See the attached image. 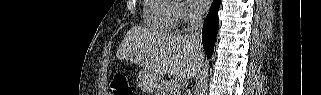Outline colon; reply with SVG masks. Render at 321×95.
<instances>
[{"label": "colon", "mask_w": 321, "mask_h": 95, "mask_svg": "<svg viewBox=\"0 0 321 95\" xmlns=\"http://www.w3.org/2000/svg\"><path fill=\"white\" fill-rule=\"evenodd\" d=\"M111 91L115 95H133L132 88L123 75H116L111 82Z\"/></svg>", "instance_id": "1"}]
</instances>
